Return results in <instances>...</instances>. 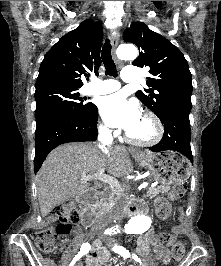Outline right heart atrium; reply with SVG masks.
Returning <instances> with one entry per match:
<instances>
[{
  "mask_svg": "<svg viewBox=\"0 0 221 266\" xmlns=\"http://www.w3.org/2000/svg\"><path fill=\"white\" fill-rule=\"evenodd\" d=\"M98 131L101 135H109L111 133L109 127L102 123L98 125Z\"/></svg>",
  "mask_w": 221,
  "mask_h": 266,
  "instance_id": "1",
  "label": "right heart atrium"
}]
</instances>
